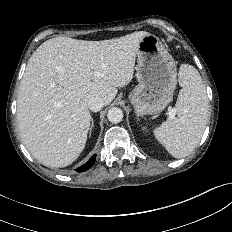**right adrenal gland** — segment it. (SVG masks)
<instances>
[{"mask_svg":"<svg viewBox=\"0 0 232 232\" xmlns=\"http://www.w3.org/2000/svg\"><path fill=\"white\" fill-rule=\"evenodd\" d=\"M93 125H94V121H93V118L91 117V127H90V133H89L90 136H91Z\"/></svg>","mask_w":232,"mask_h":232,"instance_id":"obj_1","label":"right adrenal gland"}]
</instances>
